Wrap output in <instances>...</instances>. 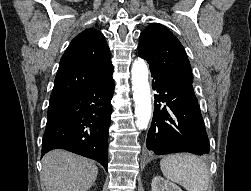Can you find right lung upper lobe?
Segmentation results:
<instances>
[{
	"instance_id": "1",
	"label": "right lung upper lobe",
	"mask_w": 251,
	"mask_h": 191,
	"mask_svg": "<svg viewBox=\"0 0 251 191\" xmlns=\"http://www.w3.org/2000/svg\"><path fill=\"white\" fill-rule=\"evenodd\" d=\"M109 47L104 35L92 28L77 35L61 58L50 103L82 92L112 76Z\"/></svg>"
}]
</instances>
